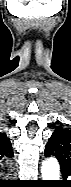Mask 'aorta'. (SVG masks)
Returning <instances> with one entry per match:
<instances>
[{
	"instance_id": "aorta-1",
	"label": "aorta",
	"mask_w": 71,
	"mask_h": 187,
	"mask_svg": "<svg viewBox=\"0 0 71 187\" xmlns=\"http://www.w3.org/2000/svg\"><path fill=\"white\" fill-rule=\"evenodd\" d=\"M43 180H59L60 166L56 158H47L41 168Z\"/></svg>"
}]
</instances>
